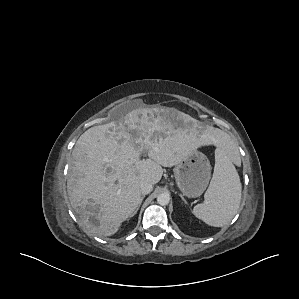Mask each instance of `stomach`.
Segmentation results:
<instances>
[{
  "instance_id": "obj_1",
  "label": "stomach",
  "mask_w": 299,
  "mask_h": 299,
  "mask_svg": "<svg viewBox=\"0 0 299 299\" xmlns=\"http://www.w3.org/2000/svg\"><path fill=\"white\" fill-rule=\"evenodd\" d=\"M174 175L178 188L185 196L199 197L210 181L211 165L204 154L195 151L175 166Z\"/></svg>"
}]
</instances>
